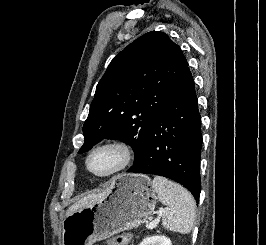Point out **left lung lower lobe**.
<instances>
[{
    "instance_id": "left-lung-lower-lobe-1",
    "label": "left lung lower lobe",
    "mask_w": 266,
    "mask_h": 245,
    "mask_svg": "<svg viewBox=\"0 0 266 245\" xmlns=\"http://www.w3.org/2000/svg\"><path fill=\"white\" fill-rule=\"evenodd\" d=\"M201 148V115L194 80L187 67L150 125L141 157L127 172L172 179L198 201Z\"/></svg>"
}]
</instances>
